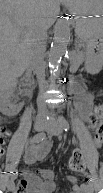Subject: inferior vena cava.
I'll list each match as a JSON object with an SVG mask.
<instances>
[{"label": "inferior vena cava", "instance_id": "inferior-vena-cava-1", "mask_svg": "<svg viewBox=\"0 0 103 193\" xmlns=\"http://www.w3.org/2000/svg\"><path fill=\"white\" fill-rule=\"evenodd\" d=\"M32 61L35 64L36 75L39 83L40 95H43L47 88V83L45 81V68L46 63L44 61L45 50H46V33L44 29L38 28L33 34L30 43ZM38 105V118H45L48 115L47 106L44 103L42 96L37 99Z\"/></svg>", "mask_w": 103, "mask_h": 193}]
</instances>
